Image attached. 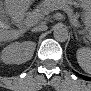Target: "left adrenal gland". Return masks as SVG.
Wrapping results in <instances>:
<instances>
[{"mask_svg":"<svg viewBox=\"0 0 91 91\" xmlns=\"http://www.w3.org/2000/svg\"><path fill=\"white\" fill-rule=\"evenodd\" d=\"M76 39L78 40L77 34L75 33Z\"/></svg>","mask_w":91,"mask_h":91,"instance_id":"obj_1","label":"left adrenal gland"}]
</instances>
